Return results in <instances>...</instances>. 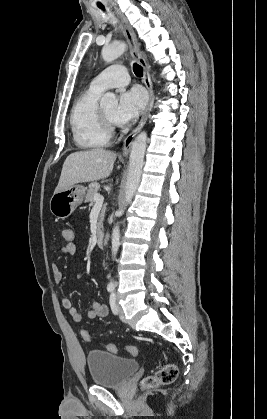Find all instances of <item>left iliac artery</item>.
I'll return each instance as SVG.
<instances>
[{
    "mask_svg": "<svg viewBox=\"0 0 267 419\" xmlns=\"http://www.w3.org/2000/svg\"><path fill=\"white\" fill-rule=\"evenodd\" d=\"M109 302H110V307L111 310L113 312V314H117L118 313V308L116 305V294L114 292L111 293L110 298H109Z\"/></svg>",
    "mask_w": 267,
    "mask_h": 419,
    "instance_id": "left-iliac-artery-1",
    "label": "left iliac artery"
}]
</instances>
